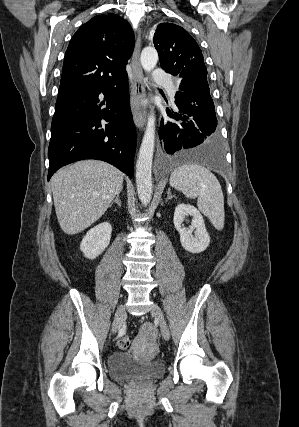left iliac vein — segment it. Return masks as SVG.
<instances>
[{"label":"left iliac vein","instance_id":"left-iliac-vein-1","mask_svg":"<svg viewBox=\"0 0 299 427\" xmlns=\"http://www.w3.org/2000/svg\"><path fill=\"white\" fill-rule=\"evenodd\" d=\"M151 314L159 321L162 337L165 340H169V338H170V331H169L168 325H167V323L165 321V318H164L162 310L155 303L151 307Z\"/></svg>","mask_w":299,"mask_h":427}]
</instances>
